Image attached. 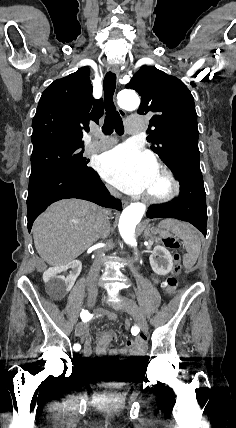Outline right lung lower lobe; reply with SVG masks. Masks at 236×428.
<instances>
[{
  "mask_svg": "<svg viewBox=\"0 0 236 428\" xmlns=\"http://www.w3.org/2000/svg\"><path fill=\"white\" fill-rule=\"evenodd\" d=\"M78 198L121 211V201L110 195L99 175L88 168L82 171L58 170L29 180L27 198L28 230L34 220L53 202Z\"/></svg>",
  "mask_w": 236,
  "mask_h": 428,
  "instance_id": "right-lung-lower-lobe-1",
  "label": "right lung lower lobe"
}]
</instances>
